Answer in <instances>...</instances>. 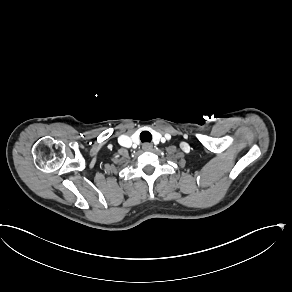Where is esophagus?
Here are the masks:
<instances>
[{
  "mask_svg": "<svg viewBox=\"0 0 292 292\" xmlns=\"http://www.w3.org/2000/svg\"><path fill=\"white\" fill-rule=\"evenodd\" d=\"M152 148H153L152 143L145 142V143L142 144V149H143L144 151H151Z\"/></svg>",
  "mask_w": 292,
  "mask_h": 292,
  "instance_id": "34e87169",
  "label": "esophagus"
}]
</instances>
